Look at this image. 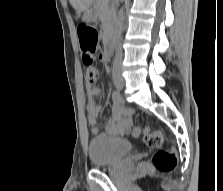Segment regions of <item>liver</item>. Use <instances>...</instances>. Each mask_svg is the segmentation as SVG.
Returning a JSON list of instances; mask_svg holds the SVG:
<instances>
[{"label": "liver", "instance_id": "obj_1", "mask_svg": "<svg viewBox=\"0 0 223 191\" xmlns=\"http://www.w3.org/2000/svg\"><path fill=\"white\" fill-rule=\"evenodd\" d=\"M70 4L76 10L77 14L80 15L82 11L87 9L94 0H69Z\"/></svg>", "mask_w": 223, "mask_h": 191}]
</instances>
